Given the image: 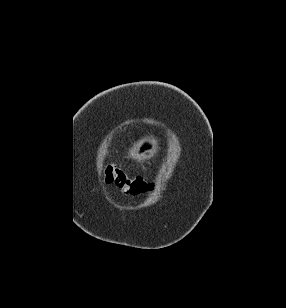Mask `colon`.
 Listing matches in <instances>:
<instances>
[{
    "label": "colon",
    "mask_w": 286,
    "mask_h": 308,
    "mask_svg": "<svg viewBox=\"0 0 286 308\" xmlns=\"http://www.w3.org/2000/svg\"><path fill=\"white\" fill-rule=\"evenodd\" d=\"M104 179L106 183L113 184L123 193L129 195H141L152 189V184L142 178H132L128 176L121 168L107 166L104 170Z\"/></svg>",
    "instance_id": "colon-1"
}]
</instances>
